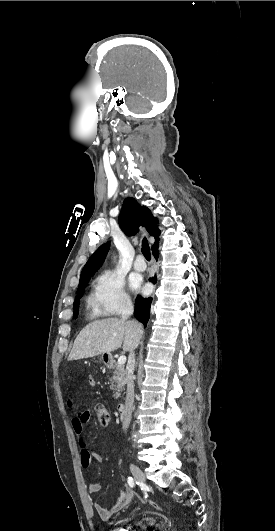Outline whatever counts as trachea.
Returning a JSON list of instances; mask_svg holds the SVG:
<instances>
[{
    "mask_svg": "<svg viewBox=\"0 0 275 531\" xmlns=\"http://www.w3.org/2000/svg\"><path fill=\"white\" fill-rule=\"evenodd\" d=\"M141 252L143 253V256H145V258L147 260L151 259V252H150V248H149V243H148L146 238H144L143 241H142Z\"/></svg>",
    "mask_w": 275,
    "mask_h": 531,
    "instance_id": "trachea-1",
    "label": "trachea"
}]
</instances>
